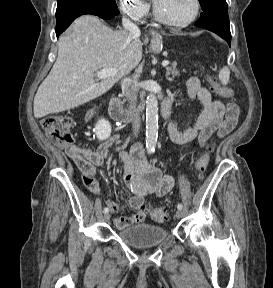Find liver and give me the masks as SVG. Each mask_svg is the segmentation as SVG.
Segmentation results:
<instances>
[{
	"label": "liver",
	"mask_w": 273,
	"mask_h": 288,
	"mask_svg": "<svg viewBox=\"0 0 273 288\" xmlns=\"http://www.w3.org/2000/svg\"><path fill=\"white\" fill-rule=\"evenodd\" d=\"M142 59V43L127 30L113 31L97 17L77 18L59 38L58 57L34 97V116L42 118L83 105L106 93ZM117 73L95 82V73Z\"/></svg>",
	"instance_id": "liver-1"
}]
</instances>
